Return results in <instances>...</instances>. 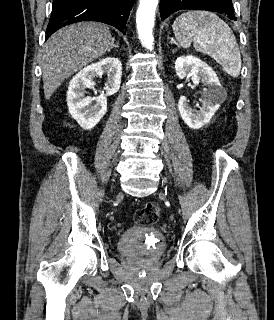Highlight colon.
I'll return each mask as SVG.
<instances>
[{
    "label": "colon",
    "mask_w": 274,
    "mask_h": 320,
    "mask_svg": "<svg viewBox=\"0 0 274 320\" xmlns=\"http://www.w3.org/2000/svg\"><path fill=\"white\" fill-rule=\"evenodd\" d=\"M160 216V210L157 203L152 201L145 202L136 210L134 219L141 226H150L155 224Z\"/></svg>",
    "instance_id": "colon-1"
}]
</instances>
